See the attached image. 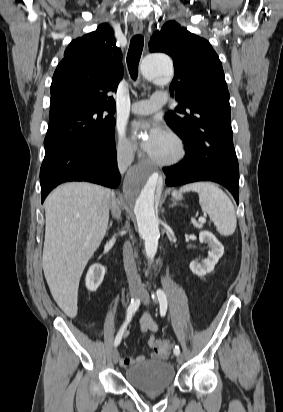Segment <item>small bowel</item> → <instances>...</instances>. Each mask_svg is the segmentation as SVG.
Instances as JSON below:
<instances>
[{
	"label": "small bowel",
	"instance_id": "c3829d8e",
	"mask_svg": "<svg viewBox=\"0 0 283 412\" xmlns=\"http://www.w3.org/2000/svg\"><path fill=\"white\" fill-rule=\"evenodd\" d=\"M140 326H141L142 331L144 332H155L158 328L156 322L152 319L149 313H144L141 316ZM125 329L123 331V334L127 335V331H125ZM148 345L150 347H153L155 345V338L153 335L150 336L148 340ZM145 359L146 357L144 355H138L136 357H124L120 359V365L123 367H128V366L133 365L134 363H141Z\"/></svg>",
	"mask_w": 283,
	"mask_h": 412
}]
</instances>
